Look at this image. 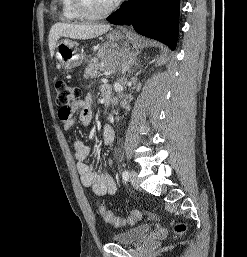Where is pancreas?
Masks as SVG:
<instances>
[{
  "label": "pancreas",
  "instance_id": "cf45deb5",
  "mask_svg": "<svg viewBox=\"0 0 247 257\" xmlns=\"http://www.w3.org/2000/svg\"><path fill=\"white\" fill-rule=\"evenodd\" d=\"M115 69L113 62L102 60L99 62L96 58L92 59L85 69L84 76L86 78H97L101 75L103 71H112Z\"/></svg>",
  "mask_w": 247,
  "mask_h": 257
}]
</instances>
